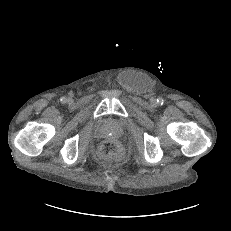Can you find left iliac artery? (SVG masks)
<instances>
[{
  "instance_id": "left-iliac-artery-1",
  "label": "left iliac artery",
  "mask_w": 231,
  "mask_h": 231,
  "mask_svg": "<svg viewBox=\"0 0 231 231\" xmlns=\"http://www.w3.org/2000/svg\"><path fill=\"white\" fill-rule=\"evenodd\" d=\"M158 101H159V103L163 104L164 100L162 98H159Z\"/></svg>"
}]
</instances>
